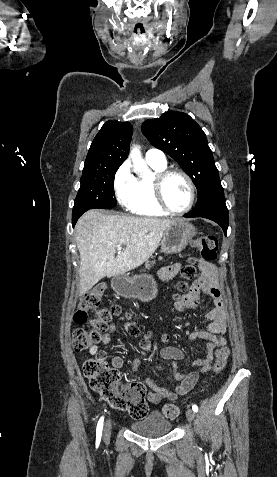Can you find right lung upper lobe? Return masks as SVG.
<instances>
[{
	"label": "right lung upper lobe",
	"instance_id": "cb5924a9",
	"mask_svg": "<svg viewBox=\"0 0 277 477\" xmlns=\"http://www.w3.org/2000/svg\"><path fill=\"white\" fill-rule=\"evenodd\" d=\"M132 133L129 122L107 121L92 141L83 172L119 167L128 156Z\"/></svg>",
	"mask_w": 277,
	"mask_h": 477
}]
</instances>
